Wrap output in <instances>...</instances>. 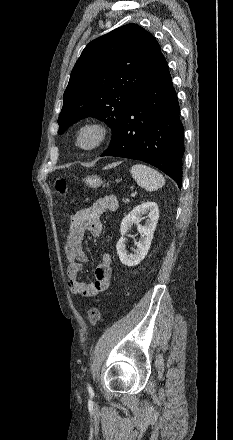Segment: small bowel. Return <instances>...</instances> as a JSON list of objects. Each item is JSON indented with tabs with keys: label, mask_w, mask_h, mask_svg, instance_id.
I'll return each mask as SVG.
<instances>
[{
	"label": "small bowel",
	"mask_w": 233,
	"mask_h": 440,
	"mask_svg": "<svg viewBox=\"0 0 233 440\" xmlns=\"http://www.w3.org/2000/svg\"><path fill=\"white\" fill-rule=\"evenodd\" d=\"M118 208V199L115 195H107L95 201L92 205L73 214L68 223L65 242V254L68 261V286L72 293L82 297H94L106 291L111 282L113 258L104 253L95 269L94 280L84 282L79 280V274L88 261L83 250L84 233L90 232L94 237L102 233L101 217L108 211Z\"/></svg>",
	"instance_id": "1"
}]
</instances>
